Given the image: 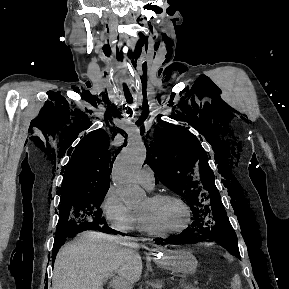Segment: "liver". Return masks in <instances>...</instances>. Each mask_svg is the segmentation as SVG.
<instances>
[{
    "mask_svg": "<svg viewBox=\"0 0 289 289\" xmlns=\"http://www.w3.org/2000/svg\"><path fill=\"white\" fill-rule=\"evenodd\" d=\"M114 272L130 288L142 274L138 252L119 245L112 236L86 231L76 243L59 250L52 289H103L104 280Z\"/></svg>",
    "mask_w": 289,
    "mask_h": 289,
    "instance_id": "6515ba94",
    "label": "liver"
}]
</instances>
